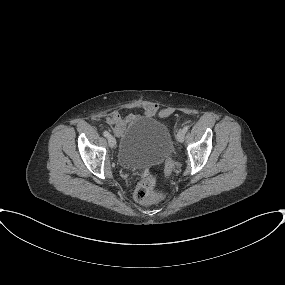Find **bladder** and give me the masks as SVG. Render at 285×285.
<instances>
[{"instance_id":"1","label":"bladder","mask_w":285,"mask_h":285,"mask_svg":"<svg viewBox=\"0 0 285 285\" xmlns=\"http://www.w3.org/2000/svg\"><path fill=\"white\" fill-rule=\"evenodd\" d=\"M172 152L169 128L151 116H140L127 126L121 137L118 161L127 169H143L161 163Z\"/></svg>"}]
</instances>
